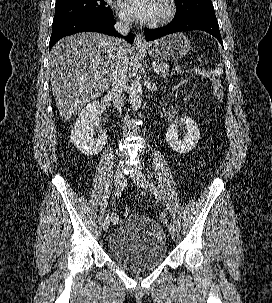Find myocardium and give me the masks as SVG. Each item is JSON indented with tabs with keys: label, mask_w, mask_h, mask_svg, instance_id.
Masks as SVG:
<instances>
[{
	"label": "myocardium",
	"mask_w": 272,
	"mask_h": 303,
	"mask_svg": "<svg viewBox=\"0 0 272 303\" xmlns=\"http://www.w3.org/2000/svg\"><path fill=\"white\" fill-rule=\"evenodd\" d=\"M164 5V13L151 22L152 26H160L169 23L176 15L177 7L174 0H161Z\"/></svg>",
	"instance_id": "1"
}]
</instances>
